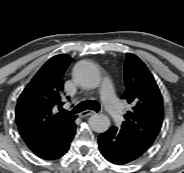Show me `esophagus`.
I'll return each instance as SVG.
<instances>
[{
  "label": "esophagus",
  "instance_id": "obj_1",
  "mask_svg": "<svg viewBox=\"0 0 184 173\" xmlns=\"http://www.w3.org/2000/svg\"><path fill=\"white\" fill-rule=\"evenodd\" d=\"M95 113H96V112L93 111V110H85V111L81 112V113L79 114V116H80L81 118H84V117H87V116L94 115Z\"/></svg>",
  "mask_w": 184,
  "mask_h": 173
}]
</instances>
